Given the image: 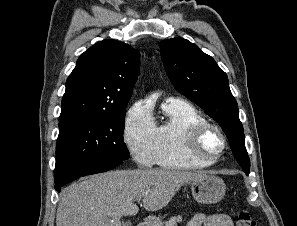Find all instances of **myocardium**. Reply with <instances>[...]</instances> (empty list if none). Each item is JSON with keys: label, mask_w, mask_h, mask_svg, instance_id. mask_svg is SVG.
<instances>
[{"label": "myocardium", "mask_w": 297, "mask_h": 226, "mask_svg": "<svg viewBox=\"0 0 297 226\" xmlns=\"http://www.w3.org/2000/svg\"><path fill=\"white\" fill-rule=\"evenodd\" d=\"M210 133H214L220 141L219 150L215 155L207 154L202 150V141ZM185 146L191 158L202 164L212 165L219 161L224 154L227 138L219 126L210 122H203L189 129L185 137Z\"/></svg>", "instance_id": "obj_1"}]
</instances>
